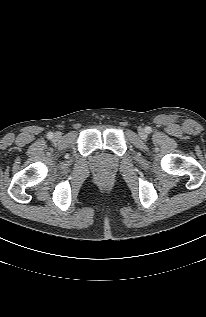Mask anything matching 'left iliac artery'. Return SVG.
Here are the masks:
<instances>
[{
	"instance_id": "44dca946",
	"label": "left iliac artery",
	"mask_w": 206,
	"mask_h": 317,
	"mask_svg": "<svg viewBox=\"0 0 206 317\" xmlns=\"http://www.w3.org/2000/svg\"><path fill=\"white\" fill-rule=\"evenodd\" d=\"M150 131H151V128L148 127L147 128V133H150Z\"/></svg>"
}]
</instances>
